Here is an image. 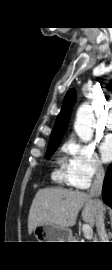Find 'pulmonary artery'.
Masks as SVG:
<instances>
[{"mask_svg": "<svg viewBox=\"0 0 112 270\" xmlns=\"http://www.w3.org/2000/svg\"><path fill=\"white\" fill-rule=\"evenodd\" d=\"M106 128L112 130V111L109 114L108 120L106 122Z\"/></svg>", "mask_w": 112, "mask_h": 270, "instance_id": "pulmonary-artery-1", "label": "pulmonary artery"}]
</instances>
